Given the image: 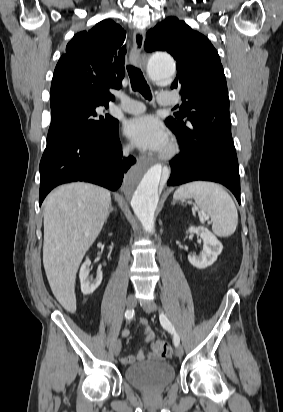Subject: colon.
I'll return each mask as SVG.
<instances>
[{
  "mask_svg": "<svg viewBox=\"0 0 283 412\" xmlns=\"http://www.w3.org/2000/svg\"><path fill=\"white\" fill-rule=\"evenodd\" d=\"M152 351L155 357L165 358L171 354V347L165 341L154 340L152 342Z\"/></svg>",
  "mask_w": 283,
  "mask_h": 412,
  "instance_id": "5ec220e1",
  "label": "colon"
}]
</instances>
